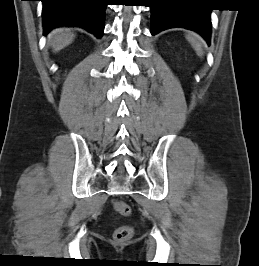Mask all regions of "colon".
I'll use <instances>...</instances> for the list:
<instances>
[{"label":"colon","mask_w":259,"mask_h":266,"mask_svg":"<svg viewBox=\"0 0 259 266\" xmlns=\"http://www.w3.org/2000/svg\"><path fill=\"white\" fill-rule=\"evenodd\" d=\"M113 207L122 216H128L131 213L130 206L123 201L119 200L114 201ZM132 236H133V228L128 225L121 226L117 228L114 232V238L119 242L128 241Z\"/></svg>","instance_id":"obj_1"}]
</instances>
